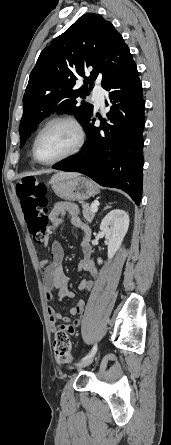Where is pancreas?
I'll return each instance as SVG.
<instances>
[{"label":"pancreas","mask_w":171,"mask_h":445,"mask_svg":"<svg viewBox=\"0 0 171 445\" xmlns=\"http://www.w3.org/2000/svg\"><path fill=\"white\" fill-rule=\"evenodd\" d=\"M81 206H82V213H83L84 218L87 221L91 222L95 215L94 212L91 210L88 203L81 202ZM69 213L71 216L76 217L79 214V210L78 209L69 210Z\"/></svg>","instance_id":"cf45deb5"}]
</instances>
